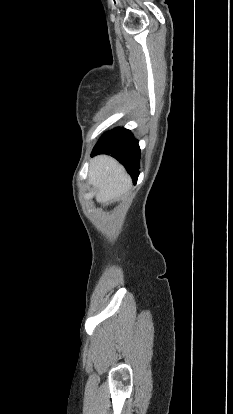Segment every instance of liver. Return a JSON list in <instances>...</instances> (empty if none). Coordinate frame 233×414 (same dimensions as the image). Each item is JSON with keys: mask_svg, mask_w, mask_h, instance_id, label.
I'll list each match as a JSON object with an SVG mask.
<instances>
[{"mask_svg": "<svg viewBox=\"0 0 233 414\" xmlns=\"http://www.w3.org/2000/svg\"><path fill=\"white\" fill-rule=\"evenodd\" d=\"M88 177L97 190L95 198L99 203L118 201L132 186L124 167L108 155H99L90 161Z\"/></svg>", "mask_w": 233, "mask_h": 414, "instance_id": "6515ba94", "label": "liver"}]
</instances>
